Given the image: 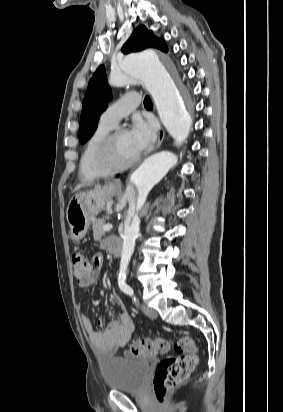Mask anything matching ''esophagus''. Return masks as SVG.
<instances>
[{"label": "esophagus", "instance_id": "1", "mask_svg": "<svg viewBox=\"0 0 283 412\" xmlns=\"http://www.w3.org/2000/svg\"><path fill=\"white\" fill-rule=\"evenodd\" d=\"M164 136H165V131L164 128L161 127L158 133V140H157V144L155 147V150L158 149L160 147V145L162 144L163 140H164Z\"/></svg>", "mask_w": 283, "mask_h": 412}]
</instances>
